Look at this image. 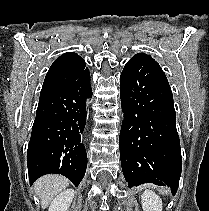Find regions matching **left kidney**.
I'll use <instances>...</instances> for the list:
<instances>
[{"label":"left kidney","instance_id":"left-kidney-1","mask_svg":"<svg viewBox=\"0 0 209 211\" xmlns=\"http://www.w3.org/2000/svg\"><path fill=\"white\" fill-rule=\"evenodd\" d=\"M143 211H162L161 198L150 190H145L141 196Z\"/></svg>","mask_w":209,"mask_h":211}]
</instances>
